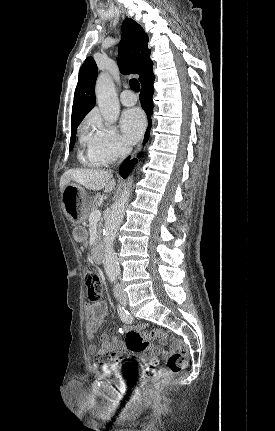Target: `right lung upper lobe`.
<instances>
[{
    "mask_svg": "<svg viewBox=\"0 0 275 431\" xmlns=\"http://www.w3.org/2000/svg\"><path fill=\"white\" fill-rule=\"evenodd\" d=\"M119 49L125 57L119 58V68L123 74H139V81L144 85L154 74L153 63L148 49V36L134 20L126 18L122 24V39ZM97 66L92 57H88L79 71L72 108L71 128L78 126L95 105V82Z\"/></svg>",
    "mask_w": 275,
    "mask_h": 431,
    "instance_id": "right-lung-upper-lobe-1",
    "label": "right lung upper lobe"
}]
</instances>
